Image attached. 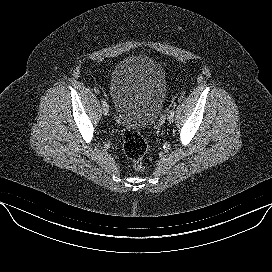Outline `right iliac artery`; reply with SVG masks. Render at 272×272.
<instances>
[{
	"instance_id": "82829eb1",
	"label": "right iliac artery",
	"mask_w": 272,
	"mask_h": 272,
	"mask_svg": "<svg viewBox=\"0 0 272 272\" xmlns=\"http://www.w3.org/2000/svg\"><path fill=\"white\" fill-rule=\"evenodd\" d=\"M101 102H102V106H106L107 105V102L105 101V99H102Z\"/></svg>"
}]
</instances>
